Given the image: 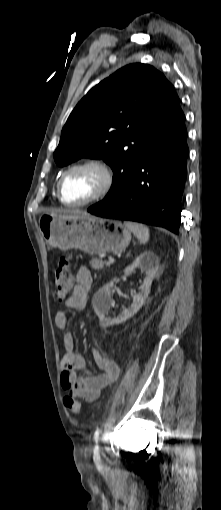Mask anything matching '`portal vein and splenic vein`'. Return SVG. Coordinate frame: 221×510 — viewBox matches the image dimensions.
Wrapping results in <instances>:
<instances>
[{
	"label": "portal vein and splenic vein",
	"instance_id": "18ae733b",
	"mask_svg": "<svg viewBox=\"0 0 221 510\" xmlns=\"http://www.w3.org/2000/svg\"><path fill=\"white\" fill-rule=\"evenodd\" d=\"M114 261H115L114 258H109V260H108V262L106 264L110 265V264L114 263Z\"/></svg>",
	"mask_w": 221,
	"mask_h": 510
}]
</instances>
